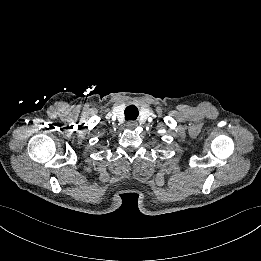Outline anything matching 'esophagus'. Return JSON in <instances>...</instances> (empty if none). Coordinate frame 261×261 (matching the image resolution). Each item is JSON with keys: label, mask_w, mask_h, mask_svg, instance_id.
Here are the masks:
<instances>
[{"label": "esophagus", "mask_w": 261, "mask_h": 261, "mask_svg": "<svg viewBox=\"0 0 261 261\" xmlns=\"http://www.w3.org/2000/svg\"><path fill=\"white\" fill-rule=\"evenodd\" d=\"M138 125V123L136 121L130 120L126 123L127 128L129 129H133Z\"/></svg>", "instance_id": "obj_1"}]
</instances>
